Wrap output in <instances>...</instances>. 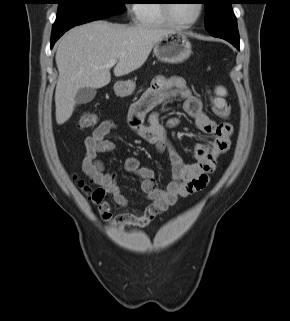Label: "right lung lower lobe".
Wrapping results in <instances>:
<instances>
[{
  "mask_svg": "<svg viewBox=\"0 0 290 321\" xmlns=\"http://www.w3.org/2000/svg\"><path fill=\"white\" fill-rule=\"evenodd\" d=\"M72 28V27H70ZM70 28L62 29V30H53L51 35V48L54 46L55 42Z\"/></svg>",
  "mask_w": 290,
  "mask_h": 321,
  "instance_id": "right-lung-lower-lobe-1",
  "label": "right lung lower lobe"
}]
</instances>
